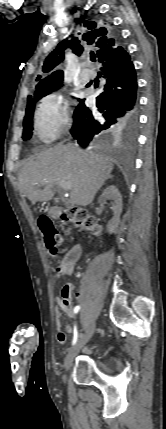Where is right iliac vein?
Segmentation results:
<instances>
[{"label": "right iliac vein", "instance_id": "1", "mask_svg": "<svg viewBox=\"0 0 166 429\" xmlns=\"http://www.w3.org/2000/svg\"><path fill=\"white\" fill-rule=\"evenodd\" d=\"M96 324L93 323L88 330L80 337V339L76 342V344L69 350L65 362L64 367L67 368L74 360L76 355L82 349V347L90 340L92 335L94 334ZM63 380H66V374L63 375Z\"/></svg>", "mask_w": 166, "mask_h": 429}]
</instances>
